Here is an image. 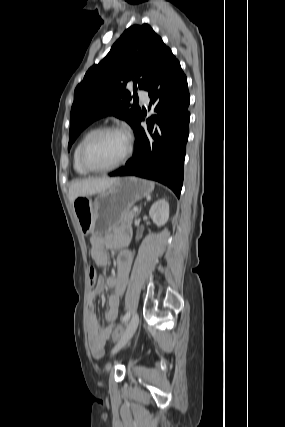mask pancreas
<instances>
[{
	"instance_id": "1",
	"label": "pancreas",
	"mask_w": 285,
	"mask_h": 427,
	"mask_svg": "<svg viewBox=\"0 0 285 427\" xmlns=\"http://www.w3.org/2000/svg\"><path fill=\"white\" fill-rule=\"evenodd\" d=\"M134 216H135V211L130 208L125 212L123 219L126 223H131Z\"/></svg>"
}]
</instances>
